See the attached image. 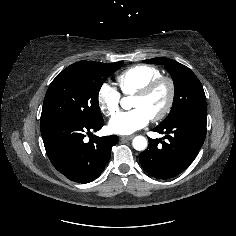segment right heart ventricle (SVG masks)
Masks as SVG:
<instances>
[{
    "instance_id": "1",
    "label": "right heart ventricle",
    "mask_w": 236,
    "mask_h": 236,
    "mask_svg": "<svg viewBox=\"0 0 236 236\" xmlns=\"http://www.w3.org/2000/svg\"><path fill=\"white\" fill-rule=\"evenodd\" d=\"M161 76L159 69L149 65H136L117 76L118 85L124 95H133L146 84Z\"/></svg>"
}]
</instances>
